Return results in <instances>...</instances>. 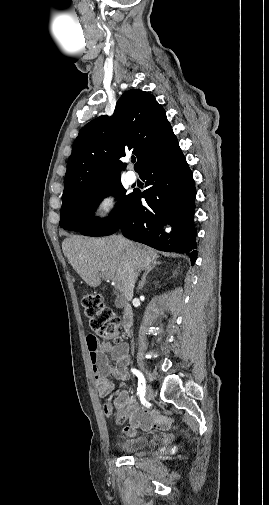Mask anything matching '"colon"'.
<instances>
[{
	"label": "colon",
	"instance_id": "colon-1",
	"mask_svg": "<svg viewBox=\"0 0 269 505\" xmlns=\"http://www.w3.org/2000/svg\"><path fill=\"white\" fill-rule=\"evenodd\" d=\"M84 316L93 334L89 336L120 342L121 320L112 309L105 306L102 298L94 293L82 297Z\"/></svg>",
	"mask_w": 269,
	"mask_h": 505
}]
</instances>
